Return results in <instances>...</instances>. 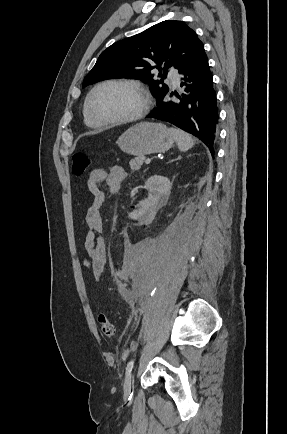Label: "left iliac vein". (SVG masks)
<instances>
[{
  "label": "left iliac vein",
  "mask_w": 287,
  "mask_h": 434,
  "mask_svg": "<svg viewBox=\"0 0 287 434\" xmlns=\"http://www.w3.org/2000/svg\"><path fill=\"white\" fill-rule=\"evenodd\" d=\"M131 390H132V375L130 374L128 377H126L125 383H124V394H125V396L130 395Z\"/></svg>",
  "instance_id": "obj_1"
}]
</instances>
